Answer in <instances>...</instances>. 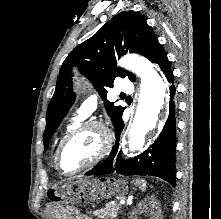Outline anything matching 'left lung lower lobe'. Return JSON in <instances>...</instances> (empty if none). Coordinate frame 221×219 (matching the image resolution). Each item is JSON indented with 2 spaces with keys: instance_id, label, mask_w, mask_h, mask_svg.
I'll return each instance as SVG.
<instances>
[{
  "instance_id": "0a47b994",
  "label": "left lung lower lobe",
  "mask_w": 221,
  "mask_h": 219,
  "mask_svg": "<svg viewBox=\"0 0 221 219\" xmlns=\"http://www.w3.org/2000/svg\"><path fill=\"white\" fill-rule=\"evenodd\" d=\"M151 62L159 65L168 82H174L170 63L168 61L166 52L161 45L154 52ZM174 93L175 87L171 85V99H173ZM174 108V101H170L169 116L157 140L142 154L127 160L122 158L121 152H118L120 134L124 127V123L121 120L115 129L116 144L113 147L109 157L101 165L88 171L85 173V175H105L114 172L121 175H151L162 178L175 187L176 127Z\"/></svg>"
}]
</instances>
